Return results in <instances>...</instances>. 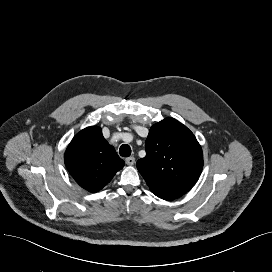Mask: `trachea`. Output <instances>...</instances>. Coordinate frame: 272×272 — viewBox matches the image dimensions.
<instances>
[{"instance_id":"trachea-1","label":"trachea","mask_w":272,"mask_h":272,"mask_svg":"<svg viewBox=\"0 0 272 272\" xmlns=\"http://www.w3.org/2000/svg\"><path fill=\"white\" fill-rule=\"evenodd\" d=\"M119 153L122 157H129L131 155V148L127 144H123L120 147Z\"/></svg>"}]
</instances>
